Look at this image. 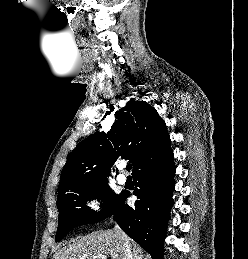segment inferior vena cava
Here are the masks:
<instances>
[{
  "mask_svg": "<svg viewBox=\"0 0 248 259\" xmlns=\"http://www.w3.org/2000/svg\"><path fill=\"white\" fill-rule=\"evenodd\" d=\"M115 232L119 235V236H123L125 238V243H124V248H125V259H134L133 258V254L132 251L130 249V246L128 245L127 242V236L126 234L120 229V227L118 225L115 226Z\"/></svg>",
  "mask_w": 248,
  "mask_h": 259,
  "instance_id": "inferior-vena-cava-1",
  "label": "inferior vena cava"
}]
</instances>
